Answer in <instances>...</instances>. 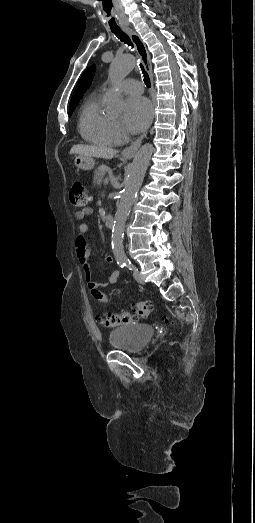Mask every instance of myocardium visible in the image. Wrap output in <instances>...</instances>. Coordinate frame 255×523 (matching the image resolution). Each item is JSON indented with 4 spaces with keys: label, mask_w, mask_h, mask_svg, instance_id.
I'll list each match as a JSON object with an SVG mask.
<instances>
[{
    "label": "myocardium",
    "mask_w": 255,
    "mask_h": 523,
    "mask_svg": "<svg viewBox=\"0 0 255 523\" xmlns=\"http://www.w3.org/2000/svg\"><path fill=\"white\" fill-rule=\"evenodd\" d=\"M118 135H119L122 139H126V135L123 134L122 132H119Z\"/></svg>",
    "instance_id": "f54148a6"
}]
</instances>
